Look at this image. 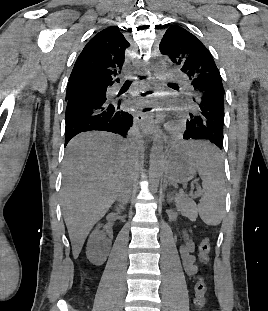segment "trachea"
Here are the masks:
<instances>
[{
	"instance_id": "3493384b",
	"label": "trachea",
	"mask_w": 268,
	"mask_h": 311,
	"mask_svg": "<svg viewBox=\"0 0 268 311\" xmlns=\"http://www.w3.org/2000/svg\"><path fill=\"white\" fill-rule=\"evenodd\" d=\"M126 83H130V81L127 80Z\"/></svg>"
}]
</instances>
